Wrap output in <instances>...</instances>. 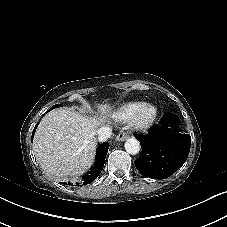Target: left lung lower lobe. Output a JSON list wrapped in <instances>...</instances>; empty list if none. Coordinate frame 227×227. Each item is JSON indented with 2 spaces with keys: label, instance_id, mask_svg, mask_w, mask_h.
Listing matches in <instances>:
<instances>
[{
  "label": "left lung lower lobe",
  "instance_id": "0a47b994",
  "mask_svg": "<svg viewBox=\"0 0 227 227\" xmlns=\"http://www.w3.org/2000/svg\"><path fill=\"white\" fill-rule=\"evenodd\" d=\"M142 153L135 160L137 170L146 177L165 179L174 174L186 161L191 137L179 128V118L166 112L147 135L136 137Z\"/></svg>",
  "mask_w": 227,
  "mask_h": 227
}]
</instances>
